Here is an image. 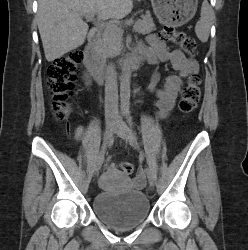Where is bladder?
Listing matches in <instances>:
<instances>
[{"label": "bladder", "instance_id": "obj_1", "mask_svg": "<svg viewBox=\"0 0 248 250\" xmlns=\"http://www.w3.org/2000/svg\"><path fill=\"white\" fill-rule=\"evenodd\" d=\"M94 213L115 229H130L145 221L150 214V202L141 190L127 192L104 191L93 199Z\"/></svg>", "mask_w": 248, "mask_h": 250}]
</instances>
